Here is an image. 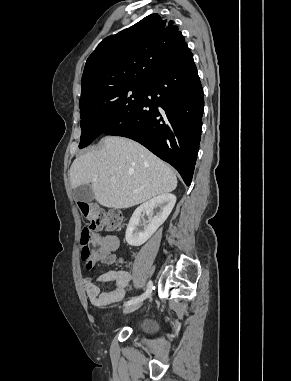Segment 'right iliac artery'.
<instances>
[{
  "instance_id": "obj_1",
  "label": "right iliac artery",
  "mask_w": 291,
  "mask_h": 381,
  "mask_svg": "<svg viewBox=\"0 0 291 381\" xmlns=\"http://www.w3.org/2000/svg\"><path fill=\"white\" fill-rule=\"evenodd\" d=\"M153 288H154V287H153V283H152V281H149L148 286H147V289H146V291H145L143 294H141L140 296L135 297V298H133V299L127 301L124 305H125V306H128V305H130V304H133V303H136V302L143 301L145 298H147V297L150 295V293H151V291H152Z\"/></svg>"
}]
</instances>
